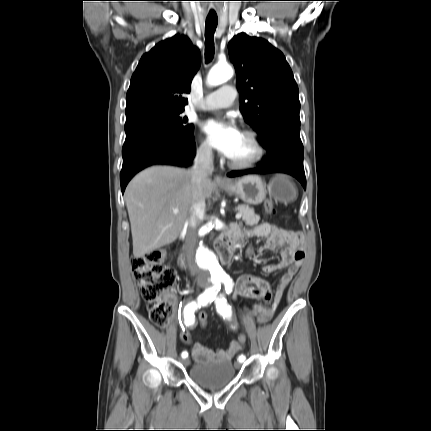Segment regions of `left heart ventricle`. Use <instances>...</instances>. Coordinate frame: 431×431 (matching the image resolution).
I'll use <instances>...</instances> for the list:
<instances>
[{
	"label": "left heart ventricle",
	"mask_w": 431,
	"mask_h": 431,
	"mask_svg": "<svg viewBox=\"0 0 431 431\" xmlns=\"http://www.w3.org/2000/svg\"><path fill=\"white\" fill-rule=\"evenodd\" d=\"M254 152L255 149L249 138L242 135L237 147L229 158L235 161H242L252 157Z\"/></svg>",
	"instance_id": "1"
}]
</instances>
